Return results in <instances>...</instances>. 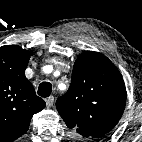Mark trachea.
I'll list each match as a JSON object with an SVG mask.
<instances>
[{"label":"trachea","instance_id":"trachea-1","mask_svg":"<svg viewBox=\"0 0 142 142\" xmlns=\"http://www.w3.org/2000/svg\"><path fill=\"white\" fill-rule=\"evenodd\" d=\"M52 85L49 82H42L38 87V95L41 97H48L51 94Z\"/></svg>","mask_w":142,"mask_h":142}]
</instances>
